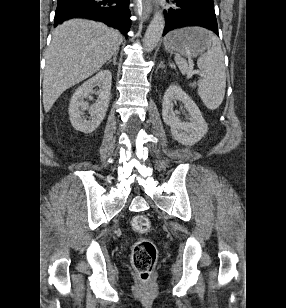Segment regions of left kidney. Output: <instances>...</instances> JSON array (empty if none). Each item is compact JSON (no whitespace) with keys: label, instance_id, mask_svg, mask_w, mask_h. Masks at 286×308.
Segmentation results:
<instances>
[{"label":"left kidney","instance_id":"1","mask_svg":"<svg viewBox=\"0 0 286 308\" xmlns=\"http://www.w3.org/2000/svg\"><path fill=\"white\" fill-rule=\"evenodd\" d=\"M180 101L189 111V121L183 122L173 110L174 103ZM162 117L171 128L172 137L179 143L192 146L204 137L208 131L202 113L196 103L178 86L170 85L166 90L162 103Z\"/></svg>","mask_w":286,"mask_h":308}]
</instances>
